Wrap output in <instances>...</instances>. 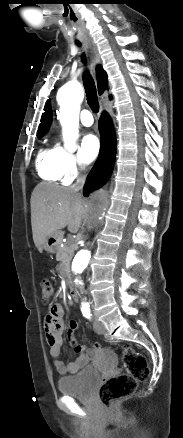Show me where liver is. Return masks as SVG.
I'll return each instance as SVG.
<instances>
[{"label": "liver", "instance_id": "1", "mask_svg": "<svg viewBox=\"0 0 183 438\" xmlns=\"http://www.w3.org/2000/svg\"><path fill=\"white\" fill-rule=\"evenodd\" d=\"M82 196L71 190L49 183L38 184L31 196V225L33 241L42 249L48 236L68 227L78 232L84 213Z\"/></svg>", "mask_w": 183, "mask_h": 438}]
</instances>
